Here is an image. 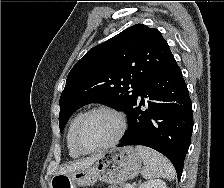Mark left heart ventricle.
Returning <instances> with one entry per match:
<instances>
[{
    "mask_svg": "<svg viewBox=\"0 0 224 188\" xmlns=\"http://www.w3.org/2000/svg\"><path fill=\"white\" fill-rule=\"evenodd\" d=\"M117 119L104 112L90 115L80 127L78 141L86 149L100 147L111 141L117 134Z\"/></svg>",
    "mask_w": 224,
    "mask_h": 188,
    "instance_id": "b2bd125f",
    "label": "left heart ventricle"
}]
</instances>
